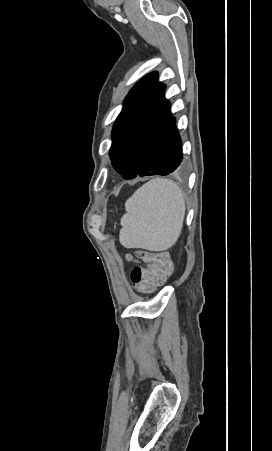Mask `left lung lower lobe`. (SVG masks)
<instances>
[{
    "label": "left lung lower lobe",
    "mask_w": 272,
    "mask_h": 451,
    "mask_svg": "<svg viewBox=\"0 0 272 451\" xmlns=\"http://www.w3.org/2000/svg\"><path fill=\"white\" fill-rule=\"evenodd\" d=\"M175 122L169 106L153 134L145 158L135 177L169 175L177 168L184 167L182 142Z\"/></svg>",
    "instance_id": "0a47b994"
}]
</instances>
